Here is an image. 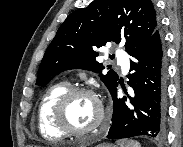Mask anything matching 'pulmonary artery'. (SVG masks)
Segmentation results:
<instances>
[{
    "mask_svg": "<svg viewBox=\"0 0 183 147\" xmlns=\"http://www.w3.org/2000/svg\"><path fill=\"white\" fill-rule=\"evenodd\" d=\"M118 58H121L120 60V64H121V68L123 71H128V68H129V62L127 59L123 58V56L125 55L123 52L121 51H117L116 52Z\"/></svg>",
    "mask_w": 183,
    "mask_h": 147,
    "instance_id": "obj_1",
    "label": "pulmonary artery"
}]
</instances>
